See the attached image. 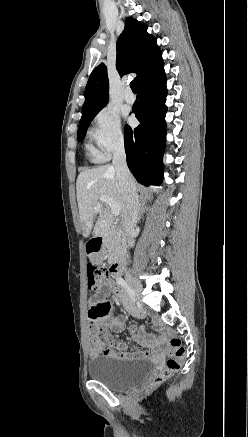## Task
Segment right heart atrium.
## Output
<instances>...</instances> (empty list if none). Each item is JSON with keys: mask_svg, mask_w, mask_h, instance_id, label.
I'll return each mask as SVG.
<instances>
[{"mask_svg": "<svg viewBox=\"0 0 248 437\" xmlns=\"http://www.w3.org/2000/svg\"><path fill=\"white\" fill-rule=\"evenodd\" d=\"M89 137L95 144L94 154L100 159L124 144V133L119 115L110 108L101 109L93 118Z\"/></svg>", "mask_w": 248, "mask_h": 437, "instance_id": "d8ad5b80", "label": "right heart atrium"}]
</instances>
